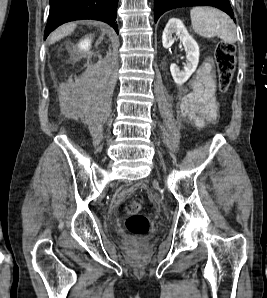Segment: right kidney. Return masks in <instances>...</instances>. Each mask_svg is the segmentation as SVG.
Returning <instances> with one entry per match:
<instances>
[{"instance_id": "right-kidney-1", "label": "right kidney", "mask_w": 267, "mask_h": 298, "mask_svg": "<svg viewBox=\"0 0 267 298\" xmlns=\"http://www.w3.org/2000/svg\"><path fill=\"white\" fill-rule=\"evenodd\" d=\"M91 39L90 38H85L80 41L78 44V47L80 50H83L84 52H88L90 47H91Z\"/></svg>"}]
</instances>
